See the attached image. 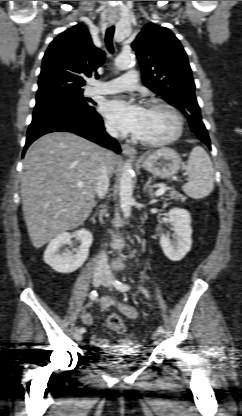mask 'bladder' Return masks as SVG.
<instances>
[{"label":"bladder","instance_id":"bladder-1","mask_svg":"<svg viewBox=\"0 0 242 416\" xmlns=\"http://www.w3.org/2000/svg\"><path fill=\"white\" fill-rule=\"evenodd\" d=\"M126 367L127 366H124V365H112V368L115 370H119V369L126 368Z\"/></svg>","mask_w":242,"mask_h":416}]
</instances>
